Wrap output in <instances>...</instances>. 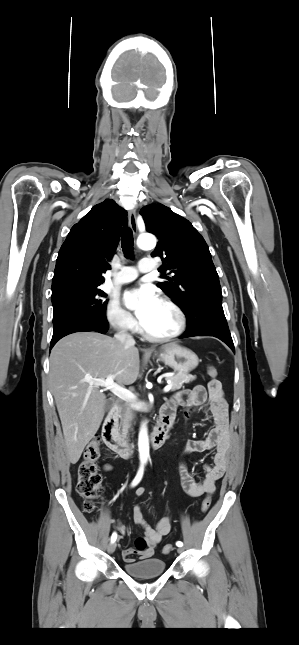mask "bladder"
<instances>
[{"label": "bladder", "mask_w": 299, "mask_h": 645, "mask_svg": "<svg viewBox=\"0 0 299 645\" xmlns=\"http://www.w3.org/2000/svg\"><path fill=\"white\" fill-rule=\"evenodd\" d=\"M123 570L135 578H148L162 575L166 570V562L161 558H149L123 565Z\"/></svg>", "instance_id": "31cf9c89"}]
</instances>
